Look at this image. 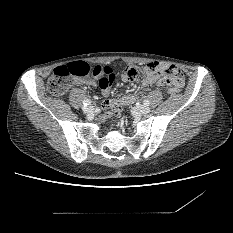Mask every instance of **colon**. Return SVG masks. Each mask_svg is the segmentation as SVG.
I'll return each mask as SVG.
<instances>
[{
	"mask_svg": "<svg viewBox=\"0 0 233 233\" xmlns=\"http://www.w3.org/2000/svg\"><path fill=\"white\" fill-rule=\"evenodd\" d=\"M168 69L169 68H165L163 71L166 72ZM141 70L142 69L134 65H128L121 73L122 79L124 81H129ZM111 71L112 69L108 66L91 65L86 61L73 62L53 71L47 85V91L51 95H62L69 90L76 78H84L91 75L102 78ZM143 71L149 72L150 67H144Z\"/></svg>",
	"mask_w": 233,
	"mask_h": 233,
	"instance_id": "1",
	"label": "colon"
}]
</instances>
